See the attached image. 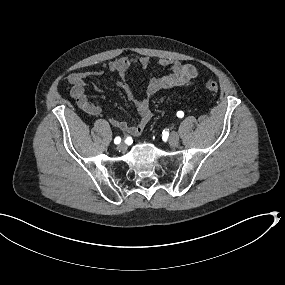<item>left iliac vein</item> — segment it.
Returning a JSON list of instances; mask_svg holds the SVG:
<instances>
[{"mask_svg": "<svg viewBox=\"0 0 285 285\" xmlns=\"http://www.w3.org/2000/svg\"><path fill=\"white\" fill-rule=\"evenodd\" d=\"M168 142L172 147H176L179 144V135L176 132H172L169 136Z\"/></svg>", "mask_w": 285, "mask_h": 285, "instance_id": "left-iliac-vein-1", "label": "left iliac vein"}]
</instances>
